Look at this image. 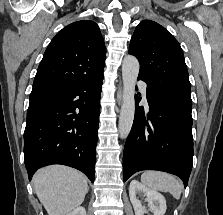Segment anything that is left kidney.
Returning <instances> with one entry per match:
<instances>
[{"label":"left kidney","mask_w":223,"mask_h":215,"mask_svg":"<svg viewBox=\"0 0 223 215\" xmlns=\"http://www.w3.org/2000/svg\"><path fill=\"white\" fill-rule=\"evenodd\" d=\"M145 193L147 201H149V209L153 211L154 215H164L167 205L166 199L162 193L159 191H154V189H149L146 185H142L137 179H132L129 185V195L130 201L135 209V215H144L146 213L145 207L141 205L140 199H137L136 193Z\"/></svg>","instance_id":"1"}]
</instances>
